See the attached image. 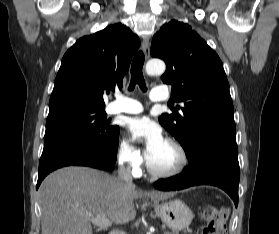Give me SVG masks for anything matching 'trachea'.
I'll use <instances>...</instances> for the list:
<instances>
[{"label":"trachea","instance_id":"obj_1","mask_svg":"<svg viewBox=\"0 0 279 234\" xmlns=\"http://www.w3.org/2000/svg\"><path fill=\"white\" fill-rule=\"evenodd\" d=\"M144 54L142 51H139L134 57L131 65V82L129 85V90L132 91L135 88V85L138 84L143 92H146V84L144 81L142 68L144 64Z\"/></svg>","mask_w":279,"mask_h":234}]
</instances>
